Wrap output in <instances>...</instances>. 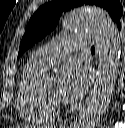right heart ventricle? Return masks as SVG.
<instances>
[{
  "label": "right heart ventricle",
  "mask_w": 125,
  "mask_h": 128,
  "mask_svg": "<svg viewBox=\"0 0 125 128\" xmlns=\"http://www.w3.org/2000/svg\"><path fill=\"white\" fill-rule=\"evenodd\" d=\"M44 68L31 60L23 67L18 83L17 110L26 121L46 123L53 113L43 104L39 94V78Z\"/></svg>",
  "instance_id": "1"
}]
</instances>
